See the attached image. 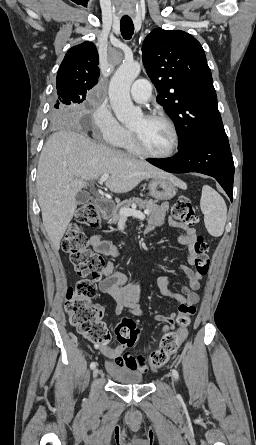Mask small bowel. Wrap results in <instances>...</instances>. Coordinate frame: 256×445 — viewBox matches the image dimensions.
<instances>
[{"label":"small bowel","mask_w":256,"mask_h":445,"mask_svg":"<svg viewBox=\"0 0 256 445\" xmlns=\"http://www.w3.org/2000/svg\"><path fill=\"white\" fill-rule=\"evenodd\" d=\"M167 210V202L160 204L150 216L147 230H152L154 227L161 226L164 223ZM184 231L185 233L179 237L178 241L180 244L188 247V262L193 264L195 256L194 245L197 239L196 230L193 227L185 226ZM89 244L98 254L109 255L112 257H118L120 255L117 247L111 242L104 240L99 234L91 235L89 238ZM181 269L188 278V285L182 286L181 288L182 294H178L170 290L169 277L167 275L161 276L158 280V287L161 295L165 298L177 301L179 303V311L184 306L198 303L201 279L204 275L193 271L186 265H182ZM99 288L102 293L110 295L115 300L116 314H120L123 311L139 316L144 314L138 303L143 287L137 284H128V276L123 272L115 270L114 264L111 261H108L102 269V279L99 283ZM103 313V309H101L102 316ZM176 318V313H171L168 316L156 315L157 320L165 323L162 327L164 332L175 328ZM183 333L184 340L188 335L187 328L183 329ZM96 348L105 357L113 359V362L108 364L109 368L138 371L140 373H144L147 370L146 354L133 355L129 352H125V346L123 345H119L117 347L98 345Z\"/></svg>","instance_id":"obj_1"}]
</instances>
